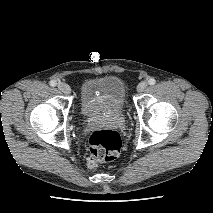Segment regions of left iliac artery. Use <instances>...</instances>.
<instances>
[{"mask_svg":"<svg viewBox=\"0 0 213 213\" xmlns=\"http://www.w3.org/2000/svg\"><path fill=\"white\" fill-rule=\"evenodd\" d=\"M149 85H154L156 83V80L154 78H150L148 80Z\"/></svg>","mask_w":213,"mask_h":213,"instance_id":"left-iliac-artery-1","label":"left iliac artery"}]
</instances>
